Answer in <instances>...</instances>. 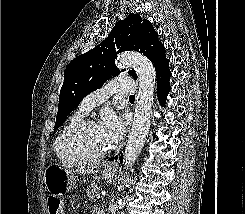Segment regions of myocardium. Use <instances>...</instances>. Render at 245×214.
<instances>
[{
  "mask_svg": "<svg viewBox=\"0 0 245 214\" xmlns=\"http://www.w3.org/2000/svg\"><path fill=\"white\" fill-rule=\"evenodd\" d=\"M89 126H97L96 122L92 119H83L70 129L64 139L63 148L65 153L74 161L79 163H97L102 161L109 153V150L96 155L89 156L81 152L78 147V137L84 129Z\"/></svg>",
  "mask_w": 245,
  "mask_h": 214,
  "instance_id": "1",
  "label": "myocardium"
}]
</instances>
